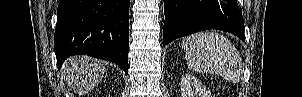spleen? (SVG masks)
<instances>
[{
    "label": "spleen",
    "instance_id": "obj_1",
    "mask_svg": "<svg viewBox=\"0 0 302 97\" xmlns=\"http://www.w3.org/2000/svg\"><path fill=\"white\" fill-rule=\"evenodd\" d=\"M181 45L190 70L216 74L232 83L240 81L241 57L225 36L216 32H198L185 37Z\"/></svg>",
    "mask_w": 302,
    "mask_h": 97
}]
</instances>
